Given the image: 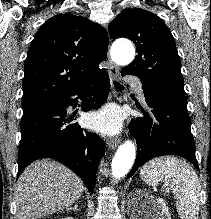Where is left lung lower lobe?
Segmentation results:
<instances>
[{
  "label": "left lung lower lobe",
  "mask_w": 211,
  "mask_h": 219,
  "mask_svg": "<svg viewBox=\"0 0 211 219\" xmlns=\"http://www.w3.org/2000/svg\"><path fill=\"white\" fill-rule=\"evenodd\" d=\"M121 74L129 73L122 71ZM142 88L150 110L129 124L138 145L129 176L150 159L164 155L181 156L199 170L183 85L153 82L142 83Z\"/></svg>",
  "instance_id": "1"
}]
</instances>
